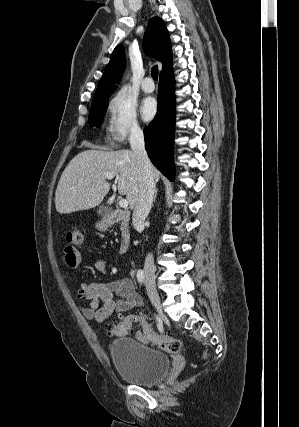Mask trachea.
<instances>
[{"label": "trachea", "mask_w": 299, "mask_h": 427, "mask_svg": "<svg viewBox=\"0 0 299 427\" xmlns=\"http://www.w3.org/2000/svg\"><path fill=\"white\" fill-rule=\"evenodd\" d=\"M151 76L154 80L158 79V67L157 66H153L151 69Z\"/></svg>", "instance_id": "3493384b"}]
</instances>
